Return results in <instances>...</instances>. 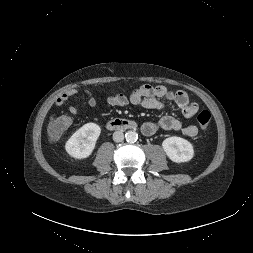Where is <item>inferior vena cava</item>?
Here are the masks:
<instances>
[{"label": "inferior vena cava", "mask_w": 253, "mask_h": 253, "mask_svg": "<svg viewBox=\"0 0 253 253\" xmlns=\"http://www.w3.org/2000/svg\"><path fill=\"white\" fill-rule=\"evenodd\" d=\"M113 140L115 142H122L124 140V134L122 131H116L113 133Z\"/></svg>", "instance_id": "1"}]
</instances>
